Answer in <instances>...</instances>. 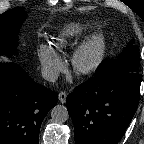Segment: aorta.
Returning <instances> with one entry per match:
<instances>
[{
    "label": "aorta",
    "mask_w": 144,
    "mask_h": 144,
    "mask_svg": "<svg viewBox=\"0 0 144 144\" xmlns=\"http://www.w3.org/2000/svg\"><path fill=\"white\" fill-rule=\"evenodd\" d=\"M51 117L54 122L63 123L69 117L68 110L64 105H56L51 110Z\"/></svg>",
    "instance_id": "obj_1"
}]
</instances>
